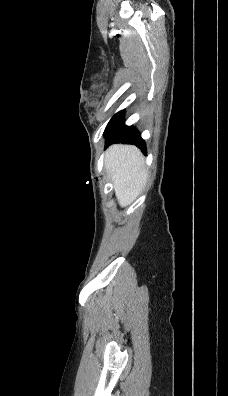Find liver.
Listing matches in <instances>:
<instances>
[{"label":"liver","mask_w":228,"mask_h":396,"mask_svg":"<svg viewBox=\"0 0 228 396\" xmlns=\"http://www.w3.org/2000/svg\"><path fill=\"white\" fill-rule=\"evenodd\" d=\"M144 163V156L135 146L115 144L107 149L105 168L121 207L130 205L144 189L148 178Z\"/></svg>","instance_id":"liver-1"}]
</instances>
